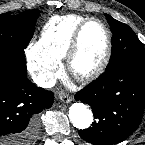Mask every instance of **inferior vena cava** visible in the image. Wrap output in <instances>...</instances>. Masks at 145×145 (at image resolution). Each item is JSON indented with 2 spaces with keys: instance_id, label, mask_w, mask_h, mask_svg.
Here are the masks:
<instances>
[{
  "instance_id": "obj_1",
  "label": "inferior vena cava",
  "mask_w": 145,
  "mask_h": 145,
  "mask_svg": "<svg viewBox=\"0 0 145 145\" xmlns=\"http://www.w3.org/2000/svg\"><path fill=\"white\" fill-rule=\"evenodd\" d=\"M34 82L40 87L44 88H49L54 85V82L45 80V78L41 74H38L36 77H34Z\"/></svg>"
}]
</instances>
